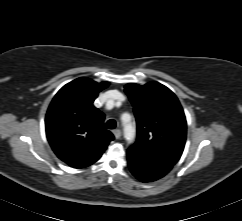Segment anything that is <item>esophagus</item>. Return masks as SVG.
Listing matches in <instances>:
<instances>
[{"label": "esophagus", "instance_id": "esophagus-1", "mask_svg": "<svg viewBox=\"0 0 242 221\" xmlns=\"http://www.w3.org/2000/svg\"><path fill=\"white\" fill-rule=\"evenodd\" d=\"M113 134L115 136L116 139H120L121 137V131L119 129H116L113 131Z\"/></svg>", "mask_w": 242, "mask_h": 221}]
</instances>
